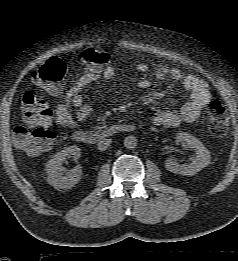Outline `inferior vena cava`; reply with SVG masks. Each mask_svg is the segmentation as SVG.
Segmentation results:
<instances>
[{"instance_id":"obj_1","label":"inferior vena cava","mask_w":238,"mask_h":261,"mask_svg":"<svg viewBox=\"0 0 238 261\" xmlns=\"http://www.w3.org/2000/svg\"><path fill=\"white\" fill-rule=\"evenodd\" d=\"M111 139H104V140H101L99 143H98V150L99 151H105L108 146L111 144Z\"/></svg>"}]
</instances>
